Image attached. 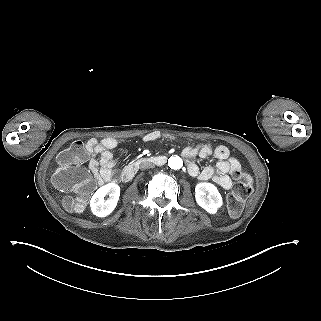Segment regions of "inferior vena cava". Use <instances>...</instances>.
Segmentation results:
<instances>
[{"instance_id": "602c4592", "label": "inferior vena cava", "mask_w": 321, "mask_h": 321, "mask_svg": "<svg viewBox=\"0 0 321 321\" xmlns=\"http://www.w3.org/2000/svg\"><path fill=\"white\" fill-rule=\"evenodd\" d=\"M155 165L154 163L150 162V161H143L140 164V170H146V169H150V168H154Z\"/></svg>"}]
</instances>
